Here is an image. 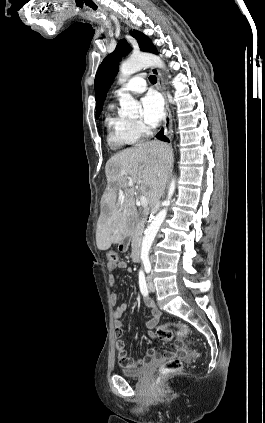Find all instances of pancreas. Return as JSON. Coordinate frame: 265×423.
<instances>
[{
	"mask_svg": "<svg viewBox=\"0 0 265 423\" xmlns=\"http://www.w3.org/2000/svg\"><path fill=\"white\" fill-rule=\"evenodd\" d=\"M144 230V223L139 222L131 233L132 241L134 245H137L141 241L142 232Z\"/></svg>",
	"mask_w": 265,
	"mask_h": 423,
	"instance_id": "obj_1",
	"label": "pancreas"
}]
</instances>
